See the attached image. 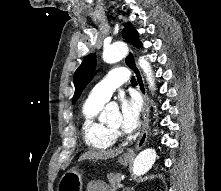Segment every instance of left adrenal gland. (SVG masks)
<instances>
[{
	"label": "left adrenal gland",
	"mask_w": 221,
	"mask_h": 191,
	"mask_svg": "<svg viewBox=\"0 0 221 191\" xmlns=\"http://www.w3.org/2000/svg\"><path fill=\"white\" fill-rule=\"evenodd\" d=\"M133 190V187H126V188H124L122 191H132Z\"/></svg>",
	"instance_id": "a2214340"
}]
</instances>
